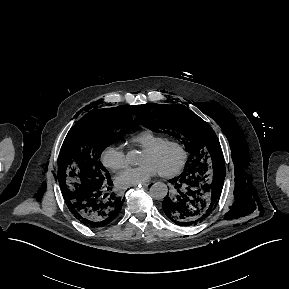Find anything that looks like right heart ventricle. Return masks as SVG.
Instances as JSON below:
<instances>
[{"mask_svg": "<svg viewBox=\"0 0 289 289\" xmlns=\"http://www.w3.org/2000/svg\"><path fill=\"white\" fill-rule=\"evenodd\" d=\"M167 139L163 135H160L149 128L142 129L138 132L133 133L129 137V142L132 144L146 149L148 147L154 146L163 140Z\"/></svg>", "mask_w": 289, "mask_h": 289, "instance_id": "e07e8e85", "label": "right heart ventricle"}]
</instances>
